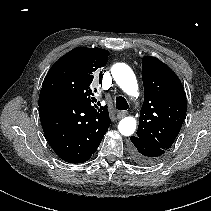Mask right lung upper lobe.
<instances>
[{
    "label": "right lung upper lobe",
    "mask_w": 211,
    "mask_h": 211,
    "mask_svg": "<svg viewBox=\"0 0 211 211\" xmlns=\"http://www.w3.org/2000/svg\"><path fill=\"white\" fill-rule=\"evenodd\" d=\"M109 52L101 48H74L63 55L48 71L42 89L66 94L82 108L110 121L107 105L98 108L92 92L95 81L102 80L101 68L108 62Z\"/></svg>",
    "instance_id": "obj_1"
}]
</instances>
